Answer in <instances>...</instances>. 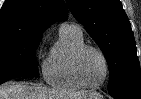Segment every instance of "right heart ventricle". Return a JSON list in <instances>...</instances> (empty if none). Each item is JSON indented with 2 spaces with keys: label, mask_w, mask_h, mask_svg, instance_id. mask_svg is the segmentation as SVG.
Wrapping results in <instances>:
<instances>
[{
  "label": "right heart ventricle",
  "mask_w": 141,
  "mask_h": 99,
  "mask_svg": "<svg viewBox=\"0 0 141 99\" xmlns=\"http://www.w3.org/2000/svg\"><path fill=\"white\" fill-rule=\"evenodd\" d=\"M85 45L82 33L63 31L59 33L56 46L43 64V76L48 85L64 91H78L84 87L78 83L73 72L76 51Z\"/></svg>",
  "instance_id": "1"
}]
</instances>
